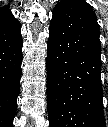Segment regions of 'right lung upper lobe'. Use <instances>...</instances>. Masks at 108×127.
<instances>
[{
	"label": "right lung upper lobe",
	"mask_w": 108,
	"mask_h": 127,
	"mask_svg": "<svg viewBox=\"0 0 108 127\" xmlns=\"http://www.w3.org/2000/svg\"><path fill=\"white\" fill-rule=\"evenodd\" d=\"M13 17L14 16L11 14L7 7L0 8V21L7 20Z\"/></svg>",
	"instance_id": "cb5924a9"
}]
</instances>
